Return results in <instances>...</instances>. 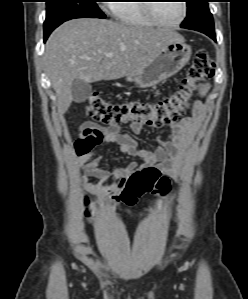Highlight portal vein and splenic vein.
Returning <instances> with one entry per match:
<instances>
[{"label": "portal vein and splenic vein", "instance_id": "1", "mask_svg": "<svg viewBox=\"0 0 248 299\" xmlns=\"http://www.w3.org/2000/svg\"><path fill=\"white\" fill-rule=\"evenodd\" d=\"M107 57H111L113 54L112 53H106L105 54Z\"/></svg>", "mask_w": 248, "mask_h": 299}]
</instances>
